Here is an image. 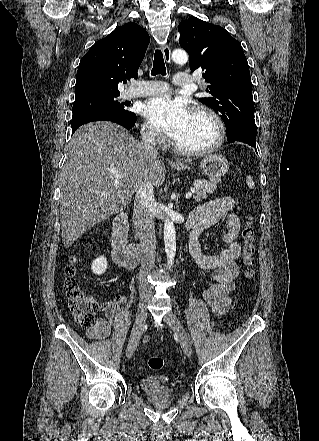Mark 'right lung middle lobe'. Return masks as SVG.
<instances>
[{
  "label": "right lung middle lobe",
  "mask_w": 319,
  "mask_h": 441,
  "mask_svg": "<svg viewBox=\"0 0 319 441\" xmlns=\"http://www.w3.org/2000/svg\"><path fill=\"white\" fill-rule=\"evenodd\" d=\"M118 96L119 95L75 100L72 120L90 114L109 113L132 122L136 117L135 114L126 109L128 105L117 101L116 98Z\"/></svg>",
  "instance_id": "1"
}]
</instances>
